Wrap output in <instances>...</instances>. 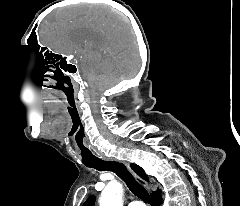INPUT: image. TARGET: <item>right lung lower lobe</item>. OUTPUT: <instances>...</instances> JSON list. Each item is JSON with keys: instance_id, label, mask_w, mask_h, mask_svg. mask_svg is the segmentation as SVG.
<instances>
[{"instance_id": "obj_1", "label": "right lung lower lobe", "mask_w": 240, "mask_h": 206, "mask_svg": "<svg viewBox=\"0 0 240 206\" xmlns=\"http://www.w3.org/2000/svg\"><path fill=\"white\" fill-rule=\"evenodd\" d=\"M162 197L159 193H156L152 196V201L154 203V206H159L161 203Z\"/></svg>"}]
</instances>
